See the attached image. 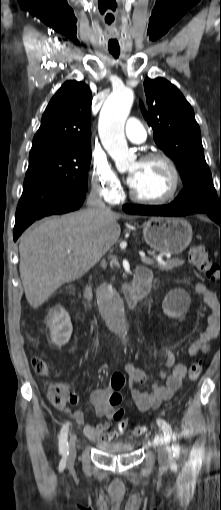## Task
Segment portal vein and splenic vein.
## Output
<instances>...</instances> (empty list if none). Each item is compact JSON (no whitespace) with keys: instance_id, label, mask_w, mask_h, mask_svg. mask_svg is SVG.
Instances as JSON below:
<instances>
[{"instance_id":"portal-vein-and-splenic-vein-1","label":"portal vein and splenic vein","mask_w":221,"mask_h":510,"mask_svg":"<svg viewBox=\"0 0 221 510\" xmlns=\"http://www.w3.org/2000/svg\"><path fill=\"white\" fill-rule=\"evenodd\" d=\"M68 252H69V251H68ZM140 257H141V258H140V259H141V261H142L143 263H145V264H152V263H153L152 259H150V258L146 257V256H145L144 254H142V253H140ZM112 258H113V260H114V261L116 260V258H115V257H112ZM158 261H160V262H161V259H160V260L158 259ZM161 263H163V264H164L165 262H161Z\"/></svg>"}]
</instances>
